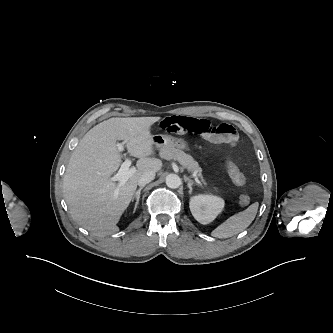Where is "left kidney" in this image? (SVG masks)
Returning a JSON list of instances; mask_svg holds the SVG:
<instances>
[{"label":"left kidney","mask_w":333,"mask_h":333,"mask_svg":"<svg viewBox=\"0 0 333 333\" xmlns=\"http://www.w3.org/2000/svg\"><path fill=\"white\" fill-rule=\"evenodd\" d=\"M189 204L192 215L201 224L211 223L224 208L222 198L209 194L193 196Z\"/></svg>","instance_id":"1"}]
</instances>
